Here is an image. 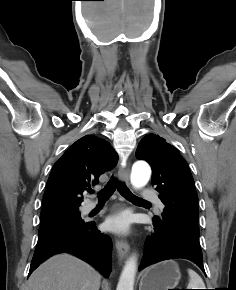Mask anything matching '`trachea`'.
I'll use <instances>...</instances> for the list:
<instances>
[{
    "instance_id": "1",
    "label": "trachea",
    "mask_w": 236,
    "mask_h": 290,
    "mask_svg": "<svg viewBox=\"0 0 236 290\" xmlns=\"http://www.w3.org/2000/svg\"><path fill=\"white\" fill-rule=\"evenodd\" d=\"M116 188L127 199L146 202V200H143L142 198H139L136 195L132 194L130 190L122 182H119L117 179L113 177L109 180L106 186L100 191L99 201L108 200L112 196ZM88 192L92 193V190L90 189L88 190Z\"/></svg>"
}]
</instances>
